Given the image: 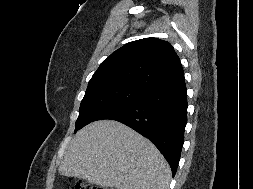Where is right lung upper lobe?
<instances>
[{
    "label": "right lung upper lobe",
    "mask_w": 253,
    "mask_h": 189,
    "mask_svg": "<svg viewBox=\"0 0 253 189\" xmlns=\"http://www.w3.org/2000/svg\"><path fill=\"white\" fill-rule=\"evenodd\" d=\"M182 80L183 68L171 44L158 38H144L127 43L106 58L86 91L106 86L149 91Z\"/></svg>",
    "instance_id": "cb5924a9"
}]
</instances>
